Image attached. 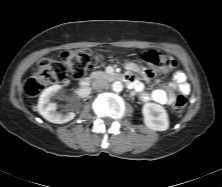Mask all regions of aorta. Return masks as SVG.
<instances>
[{
  "instance_id": "762f6f07",
  "label": "aorta",
  "mask_w": 222,
  "mask_h": 187,
  "mask_svg": "<svg viewBox=\"0 0 222 187\" xmlns=\"http://www.w3.org/2000/svg\"><path fill=\"white\" fill-rule=\"evenodd\" d=\"M112 90L119 93L123 90V84L120 81H116L112 84Z\"/></svg>"
}]
</instances>
